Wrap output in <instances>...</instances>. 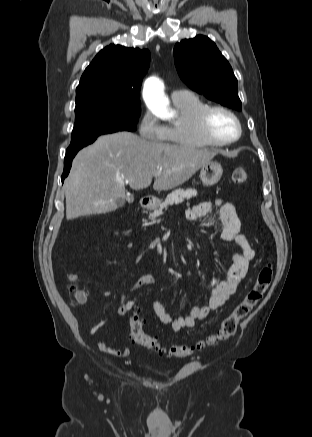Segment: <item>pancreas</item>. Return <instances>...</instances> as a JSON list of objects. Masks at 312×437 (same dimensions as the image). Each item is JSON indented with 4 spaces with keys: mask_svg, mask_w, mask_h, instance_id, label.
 <instances>
[{
    "mask_svg": "<svg viewBox=\"0 0 312 437\" xmlns=\"http://www.w3.org/2000/svg\"><path fill=\"white\" fill-rule=\"evenodd\" d=\"M197 195V190L195 189H177L170 194H168L167 198L164 202H162L158 209L154 210L153 213L149 214V218L154 220L155 218L159 217L163 210H167L169 206L174 204H179L184 201V199H190L192 197H195Z\"/></svg>",
    "mask_w": 312,
    "mask_h": 437,
    "instance_id": "pancreas-1",
    "label": "pancreas"
}]
</instances>
